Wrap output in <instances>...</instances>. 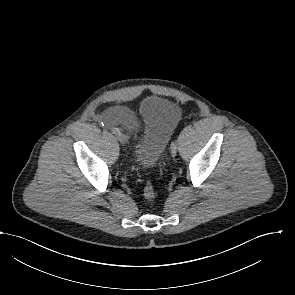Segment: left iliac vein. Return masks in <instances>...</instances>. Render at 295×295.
<instances>
[{
	"label": "left iliac vein",
	"instance_id": "obj_1",
	"mask_svg": "<svg viewBox=\"0 0 295 295\" xmlns=\"http://www.w3.org/2000/svg\"><path fill=\"white\" fill-rule=\"evenodd\" d=\"M170 153L172 157H175L177 154V147L176 146L171 147Z\"/></svg>",
	"mask_w": 295,
	"mask_h": 295
}]
</instances>
